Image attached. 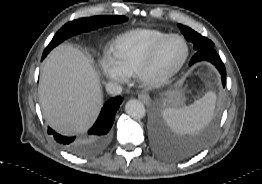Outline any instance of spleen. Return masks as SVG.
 I'll return each mask as SVG.
<instances>
[{
    "instance_id": "3e777b00",
    "label": "spleen",
    "mask_w": 262,
    "mask_h": 184,
    "mask_svg": "<svg viewBox=\"0 0 262 184\" xmlns=\"http://www.w3.org/2000/svg\"><path fill=\"white\" fill-rule=\"evenodd\" d=\"M215 102V93L209 91L189 106L164 109L163 115L169 126L175 131L195 133L211 120Z\"/></svg>"
}]
</instances>
